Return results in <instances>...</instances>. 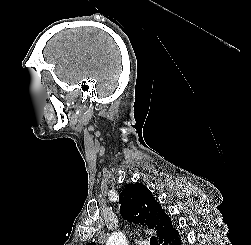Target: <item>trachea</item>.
I'll return each mask as SVG.
<instances>
[{"label":"trachea","mask_w":251,"mask_h":245,"mask_svg":"<svg viewBox=\"0 0 251 245\" xmlns=\"http://www.w3.org/2000/svg\"><path fill=\"white\" fill-rule=\"evenodd\" d=\"M150 244L151 245H158V241H157V238L155 236H152L150 238Z\"/></svg>","instance_id":"obj_1"}]
</instances>
